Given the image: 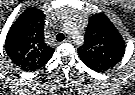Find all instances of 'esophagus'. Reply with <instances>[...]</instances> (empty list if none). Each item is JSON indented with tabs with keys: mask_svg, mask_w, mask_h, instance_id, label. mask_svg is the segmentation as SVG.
Wrapping results in <instances>:
<instances>
[{
	"mask_svg": "<svg viewBox=\"0 0 135 95\" xmlns=\"http://www.w3.org/2000/svg\"><path fill=\"white\" fill-rule=\"evenodd\" d=\"M64 42H66V43H71L72 42V39L71 38H66L65 40H64Z\"/></svg>",
	"mask_w": 135,
	"mask_h": 95,
	"instance_id": "34e87169",
	"label": "esophagus"
}]
</instances>
